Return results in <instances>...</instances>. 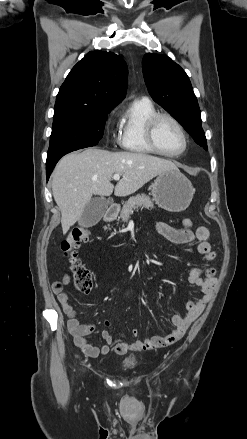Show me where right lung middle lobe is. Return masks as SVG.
I'll return each mask as SVG.
<instances>
[{
	"label": "right lung middle lobe",
	"instance_id": "1",
	"mask_svg": "<svg viewBox=\"0 0 247 439\" xmlns=\"http://www.w3.org/2000/svg\"><path fill=\"white\" fill-rule=\"evenodd\" d=\"M112 109L54 108L46 167L56 164L62 156L69 152L98 144L103 136L107 115Z\"/></svg>",
	"mask_w": 247,
	"mask_h": 439
}]
</instances>
